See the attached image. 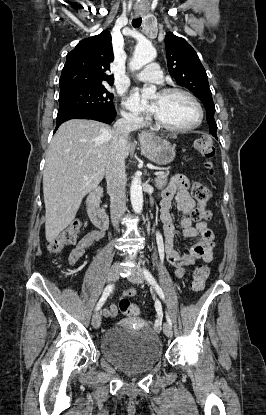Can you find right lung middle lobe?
<instances>
[{
    "label": "right lung middle lobe",
    "instance_id": "1",
    "mask_svg": "<svg viewBox=\"0 0 266 415\" xmlns=\"http://www.w3.org/2000/svg\"><path fill=\"white\" fill-rule=\"evenodd\" d=\"M89 109L104 112L114 111L113 95L104 85L82 87L60 92L59 110Z\"/></svg>",
    "mask_w": 266,
    "mask_h": 415
}]
</instances>
